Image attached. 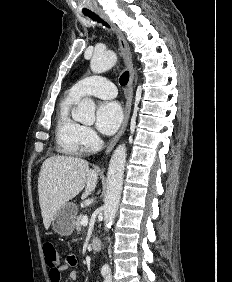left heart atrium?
Returning <instances> with one entry per match:
<instances>
[{"label":"left heart atrium","instance_id":"left-heart-atrium-1","mask_svg":"<svg viewBox=\"0 0 232 282\" xmlns=\"http://www.w3.org/2000/svg\"><path fill=\"white\" fill-rule=\"evenodd\" d=\"M122 118V108L118 102H103L96 111V126L101 133L111 135L120 126Z\"/></svg>","mask_w":232,"mask_h":282}]
</instances>
